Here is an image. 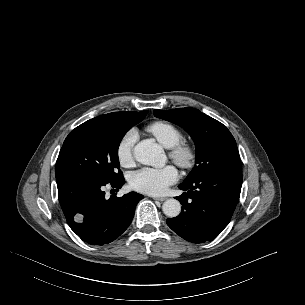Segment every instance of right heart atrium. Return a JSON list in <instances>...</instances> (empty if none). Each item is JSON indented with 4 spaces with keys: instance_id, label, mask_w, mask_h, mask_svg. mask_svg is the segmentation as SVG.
Listing matches in <instances>:
<instances>
[{
    "instance_id": "d8ad5b80",
    "label": "right heart atrium",
    "mask_w": 305,
    "mask_h": 305,
    "mask_svg": "<svg viewBox=\"0 0 305 305\" xmlns=\"http://www.w3.org/2000/svg\"><path fill=\"white\" fill-rule=\"evenodd\" d=\"M137 133L134 130L127 132L117 146V157L122 167L128 168L134 164V147Z\"/></svg>"
}]
</instances>
